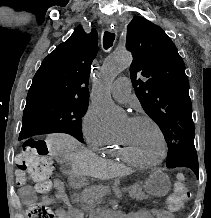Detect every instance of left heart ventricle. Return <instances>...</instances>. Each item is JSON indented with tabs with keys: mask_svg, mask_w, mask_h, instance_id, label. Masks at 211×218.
<instances>
[{
	"mask_svg": "<svg viewBox=\"0 0 211 218\" xmlns=\"http://www.w3.org/2000/svg\"><path fill=\"white\" fill-rule=\"evenodd\" d=\"M116 134L130 151L144 162H154L161 154V142L154 126L147 121H131L127 118Z\"/></svg>",
	"mask_w": 211,
	"mask_h": 218,
	"instance_id": "left-heart-ventricle-1",
	"label": "left heart ventricle"
}]
</instances>
